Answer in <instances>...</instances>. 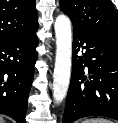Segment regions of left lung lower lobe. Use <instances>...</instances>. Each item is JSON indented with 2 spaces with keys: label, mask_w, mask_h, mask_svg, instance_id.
Returning a JSON list of instances; mask_svg holds the SVG:
<instances>
[{
  "label": "left lung lower lobe",
  "mask_w": 118,
  "mask_h": 123,
  "mask_svg": "<svg viewBox=\"0 0 118 123\" xmlns=\"http://www.w3.org/2000/svg\"><path fill=\"white\" fill-rule=\"evenodd\" d=\"M88 116L118 120V42L74 30L72 75L62 123Z\"/></svg>",
  "instance_id": "obj_1"
}]
</instances>
